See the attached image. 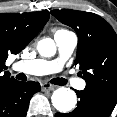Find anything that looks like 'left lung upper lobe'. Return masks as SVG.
Instances as JSON below:
<instances>
[{
  "label": "left lung upper lobe",
  "mask_w": 117,
  "mask_h": 117,
  "mask_svg": "<svg viewBox=\"0 0 117 117\" xmlns=\"http://www.w3.org/2000/svg\"><path fill=\"white\" fill-rule=\"evenodd\" d=\"M51 14L77 33L75 64L86 81L85 90L117 96V35L110 24L90 12L62 9Z\"/></svg>",
  "instance_id": "1"
}]
</instances>
